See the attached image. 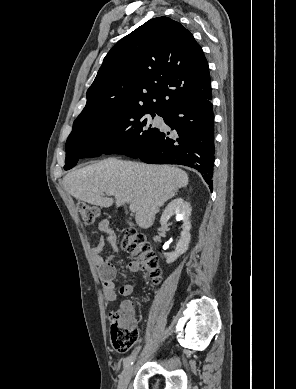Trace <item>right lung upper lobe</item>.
I'll return each instance as SVG.
<instances>
[{
  "mask_svg": "<svg viewBox=\"0 0 296 389\" xmlns=\"http://www.w3.org/2000/svg\"><path fill=\"white\" fill-rule=\"evenodd\" d=\"M209 94L211 79L202 48L179 22L158 17L108 52L77 118L123 107L165 115Z\"/></svg>",
  "mask_w": 296,
  "mask_h": 389,
  "instance_id": "right-lung-upper-lobe-1",
  "label": "right lung upper lobe"
}]
</instances>
